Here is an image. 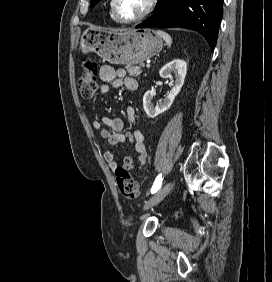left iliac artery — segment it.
Masks as SVG:
<instances>
[{
  "label": "left iliac artery",
  "instance_id": "44dca946",
  "mask_svg": "<svg viewBox=\"0 0 272 282\" xmlns=\"http://www.w3.org/2000/svg\"><path fill=\"white\" fill-rule=\"evenodd\" d=\"M161 185H162V174H159L154 181V184L151 189V193L152 194L156 193L161 188Z\"/></svg>",
  "mask_w": 272,
  "mask_h": 282
}]
</instances>
